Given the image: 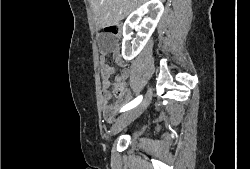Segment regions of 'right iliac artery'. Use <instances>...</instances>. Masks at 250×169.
<instances>
[{
	"instance_id": "82829eb1",
	"label": "right iliac artery",
	"mask_w": 250,
	"mask_h": 169,
	"mask_svg": "<svg viewBox=\"0 0 250 169\" xmlns=\"http://www.w3.org/2000/svg\"><path fill=\"white\" fill-rule=\"evenodd\" d=\"M142 95L141 96H138L137 98H135L133 101H131L130 103H128L127 105H125L121 110L120 112H124V111H127V110H130L134 107H136L141 101H142Z\"/></svg>"
}]
</instances>
